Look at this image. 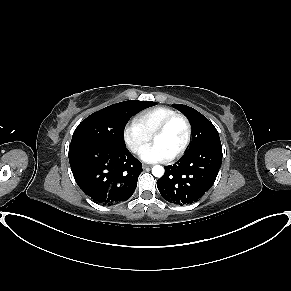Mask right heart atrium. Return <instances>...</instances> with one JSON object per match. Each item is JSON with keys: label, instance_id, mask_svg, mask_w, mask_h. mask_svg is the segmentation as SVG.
I'll return each mask as SVG.
<instances>
[{"label": "right heart atrium", "instance_id": "obj_1", "mask_svg": "<svg viewBox=\"0 0 291 291\" xmlns=\"http://www.w3.org/2000/svg\"><path fill=\"white\" fill-rule=\"evenodd\" d=\"M151 136L134 120L123 130V140L129 150L138 153L150 140Z\"/></svg>", "mask_w": 291, "mask_h": 291}]
</instances>
